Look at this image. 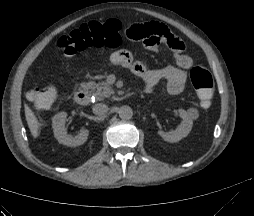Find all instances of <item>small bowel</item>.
Instances as JSON below:
<instances>
[{"label":"small bowel","instance_id":"obj_1","mask_svg":"<svg viewBox=\"0 0 254 216\" xmlns=\"http://www.w3.org/2000/svg\"><path fill=\"white\" fill-rule=\"evenodd\" d=\"M125 39L130 44L142 41L151 51H156L158 46L174 51L177 66L146 69L143 63L135 60L133 55L124 49L114 51L110 55V64L129 68L140 75L144 81L145 90L149 93L154 92L157 84L162 80L167 82V92L171 95H178L184 90L187 69L192 65V59L185 53L183 41L172 35L168 27L154 22L134 25L126 30Z\"/></svg>","mask_w":254,"mask_h":216}]
</instances>
